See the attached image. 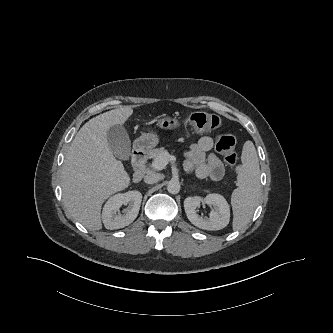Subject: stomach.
<instances>
[{"label":"stomach","mask_w":333,"mask_h":333,"mask_svg":"<svg viewBox=\"0 0 333 333\" xmlns=\"http://www.w3.org/2000/svg\"><path fill=\"white\" fill-rule=\"evenodd\" d=\"M157 125L162 129H174L180 126V122L170 116H162L157 119ZM159 143V136L154 131L142 133L139 138L134 141V148L139 151H149Z\"/></svg>","instance_id":"0dacf381"}]
</instances>
